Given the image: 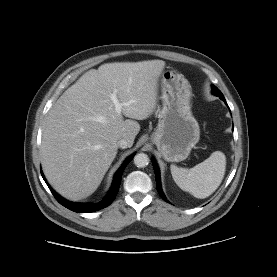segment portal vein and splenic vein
I'll return each mask as SVG.
<instances>
[{"mask_svg":"<svg viewBox=\"0 0 277 277\" xmlns=\"http://www.w3.org/2000/svg\"><path fill=\"white\" fill-rule=\"evenodd\" d=\"M110 99L111 101L113 102L114 104V107H115V110L117 113H121V109L123 106H128L129 103H121L118 98H117V95L115 92H113L111 95H110Z\"/></svg>","mask_w":277,"mask_h":277,"instance_id":"portal-vein-and-splenic-vein-1","label":"portal vein and splenic vein"}]
</instances>
